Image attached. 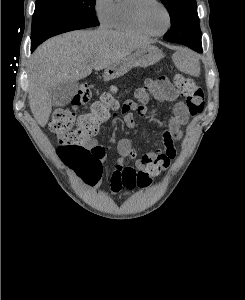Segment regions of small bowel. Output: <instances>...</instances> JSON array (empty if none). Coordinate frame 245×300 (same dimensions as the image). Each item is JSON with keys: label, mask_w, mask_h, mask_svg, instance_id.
Masks as SVG:
<instances>
[{"label": "small bowel", "mask_w": 245, "mask_h": 300, "mask_svg": "<svg viewBox=\"0 0 245 300\" xmlns=\"http://www.w3.org/2000/svg\"><path fill=\"white\" fill-rule=\"evenodd\" d=\"M134 96L135 101L124 102L113 114L114 118L121 117L129 128L136 126L134 114L144 116L147 113L151 97L158 102H172L173 113L154 151L138 155L129 139L121 138L118 141V156L109 179L110 190L115 195L121 194L123 190L134 189L139 174L156 176L169 166L170 161L175 157L174 143L182 137L183 127L189 120L187 106L180 100L178 92L165 77L146 79L144 85L135 90ZM87 147L98 151L100 162L105 159V149L96 140H90ZM129 160L134 162L133 166L127 165Z\"/></svg>", "instance_id": "small-bowel-1"}]
</instances>
